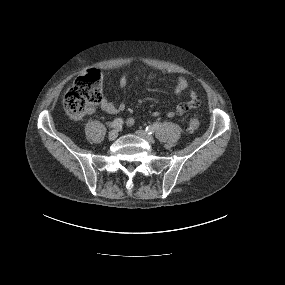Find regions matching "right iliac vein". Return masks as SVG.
<instances>
[{"label": "right iliac vein", "instance_id": "obj_1", "mask_svg": "<svg viewBox=\"0 0 285 285\" xmlns=\"http://www.w3.org/2000/svg\"><path fill=\"white\" fill-rule=\"evenodd\" d=\"M118 137V131L117 130H112L109 132L108 138L109 140L113 141Z\"/></svg>", "mask_w": 285, "mask_h": 285}]
</instances>
